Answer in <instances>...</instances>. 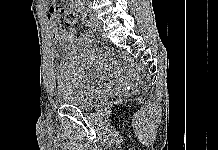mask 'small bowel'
<instances>
[{"label":"small bowel","instance_id":"small-bowel-1","mask_svg":"<svg viewBox=\"0 0 218 150\" xmlns=\"http://www.w3.org/2000/svg\"><path fill=\"white\" fill-rule=\"evenodd\" d=\"M64 4L69 7L70 11H65L56 5H51L47 9L46 19L49 25L51 36L54 39H65L66 32L60 25V15L62 13L71 12L75 15L76 20L78 13L82 11V3L80 0H63Z\"/></svg>","mask_w":218,"mask_h":150}]
</instances>
